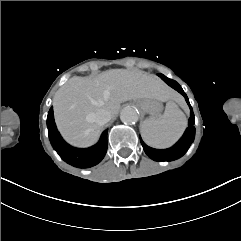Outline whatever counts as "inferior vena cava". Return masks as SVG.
Wrapping results in <instances>:
<instances>
[{"label": "inferior vena cava", "mask_w": 241, "mask_h": 241, "mask_svg": "<svg viewBox=\"0 0 241 241\" xmlns=\"http://www.w3.org/2000/svg\"><path fill=\"white\" fill-rule=\"evenodd\" d=\"M111 120V113L105 109H100L96 113H89L86 116V121L89 123H97L99 125H104Z\"/></svg>", "instance_id": "inferior-vena-cava-1"}]
</instances>
